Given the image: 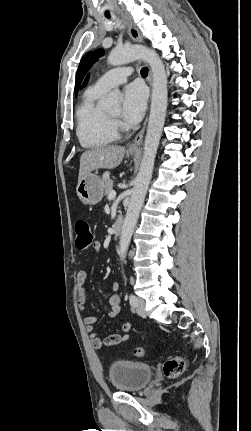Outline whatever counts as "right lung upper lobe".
Instances as JSON below:
<instances>
[{"instance_id": "obj_1", "label": "right lung upper lobe", "mask_w": 251, "mask_h": 431, "mask_svg": "<svg viewBox=\"0 0 251 431\" xmlns=\"http://www.w3.org/2000/svg\"><path fill=\"white\" fill-rule=\"evenodd\" d=\"M88 79H89V75H88V76H87V78L85 79V81H84V83H83V86L87 84Z\"/></svg>"}]
</instances>
